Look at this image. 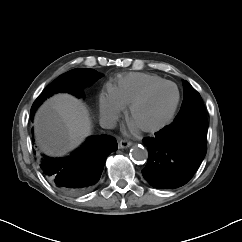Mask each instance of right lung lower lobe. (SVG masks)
Returning a JSON list of instances; mask_svg holds the SVG:
<instances>
[{"label":"right lung lower lobe","instance_id":"98d812e1","mask_svg":"<svg viewBox=\"0 0 242 242\" xmlns=\"http://www.w3.org/2000/svg\"><path fill=\"white\" fill-rule=\"evenodd\" d=\"M33 115L31 111V119ZM117 148L113 137L95 135L70 156L54 158L43 155L40 167L48 181L59 190L67 194H82L95 186L107 156Z\"/></svg>","mask_w":242,"mask_h":242}]
</instances>
